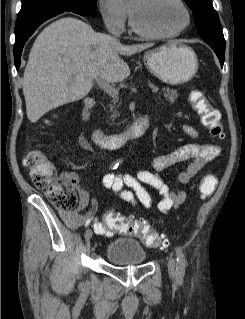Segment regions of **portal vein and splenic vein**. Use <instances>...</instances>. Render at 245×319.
<instances>
[{"label": "portal vein and splenic vein", "mask_w": 245, "mask_h": 319, "mask_svg": "<svg viewBox=\"0 0 245 319\" xmlns=\"http://www.w3.org/2000/svg\"><path fill=\"white\" fill-rule=\"evenodd\" d=\"M99 82V86L107 93L109 94L110 96L114 97V98H117L118 95H119V90L114 88L112 85H110L109 83H107L106 81L102 80V79H98ZM160 91V88L159 87H153L151 89V92L153 94H156Z\"/></svg>", "instance_id": "portal-vein-and-splenic-vein-1"}]
</instances>
